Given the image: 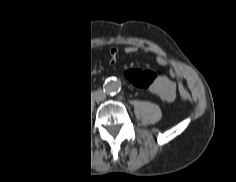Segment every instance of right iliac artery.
Wrapping results in <instances>:
<instances>
[{
    "mask_svg": "<svg viewBox=\"0 0 236 182\" xmlns=\"http://www.w3.org/2000/svg\"><path fill=\"white\" fill-rule=\"evenodd\" d=\"M106 82H107V80H106ZM103 91L108 93L110 91V86H106V88H104Z\"/></svg>",
    "mask_w": 236,
    "mask_h": 182,
    "instance_id": "1",
    "label": "right iliac artery"
}]
</instances>
